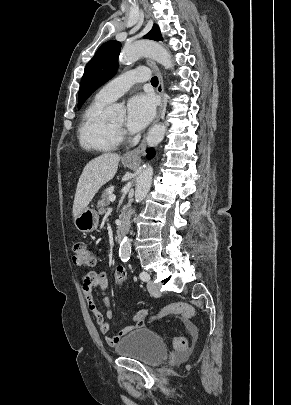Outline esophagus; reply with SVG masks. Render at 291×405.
<instances>
[{"label": "esophagus", "instance_id": "esophagus-1", "mask_svg": "<svg viewBox=\"0 0 291 405\" xmlns=\"http://www.w3.org/2000/svg\"><path fill=\"white\" fill-rule=\"evenodd\" d=\"M146 63L153 70V72L156 74V76L158 78L157 92H158L159 96L161 97V105L159 107L156 119L154 121V123H157L160 120V118L164 112L165 105H166V100H165V96H164V80H163V76H162L160 69L158 68V66L156 65V63L153 60L147 59ZM145 147H146V137L143 138V140L141 141V143L139 144V146L137 148L126 152L124 154L123 158L127 159V160L138 159L140 157V154L145 150Z\"/></svg>", "mask_w": 291, "mask_h": 405}]
</instances>
